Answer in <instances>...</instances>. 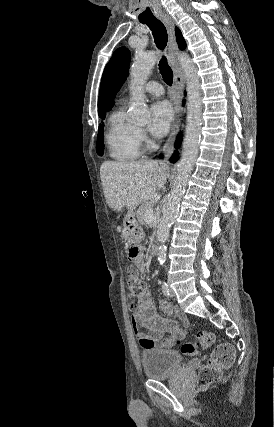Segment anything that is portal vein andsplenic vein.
I'll return each mask as SVG.
<instances>
[{"mask_svg":"<svg viewBox=\"0 0 274 427\" xmlns=\"http://www.w3.org/2000/svg\"><path fill=\"white\" fill-rule=\"evenodd\" d=\"M153 217H154L153 210H147V212H145V219H147V221H149V219H153Z\"/></svg>","mask_w":274,"mask_h":427,"instance_id":"1","label":"portal vein and splenic vein"}]
</instances>
